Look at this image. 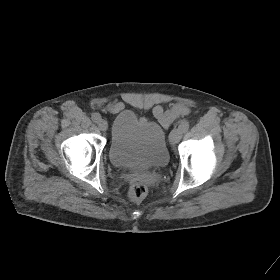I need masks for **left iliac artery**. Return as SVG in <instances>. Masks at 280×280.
Returning a JSON list of instances; mask_svg holds the SVG:
<instances>
[{"mask_svg": "<svg viewBox=\"0 0 280 280\" xmlns=\"http://www.w3.org/2000/svg\"><path fill=\"white\" fill-rule=\"evenodd\" d=\"M178 128L182 131V133L187 132L188 129H189V122L186 121V120H183V121L180 123V125H179Z\"/></svg>", "mask_w": 280, "mask_h": 280, "instance_id": "44dca946", "label": "left iliac artery"}]
</instances>
